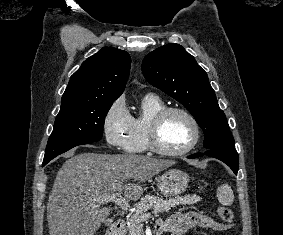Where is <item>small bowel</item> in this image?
Here are the masks:
<instances>
[{
	"instance_id": "obj_1",
	"label": "small bowel",
	"mask_w": 283,
	"mask_h": 235,
	"mask_svg": "<svg viewBox=\"0 0 283 235\" xmlns=\"http://www.w3.org/2000/svg\"><path fill=\"white\" fill-rule=\"evenodd\" d=\"M159 235L170 232L172 235H185L193 228L225 231L230 225L218 222L208 215L198 212L174 214L165 221H158Z\"/></svg>"
}]
</instances>
